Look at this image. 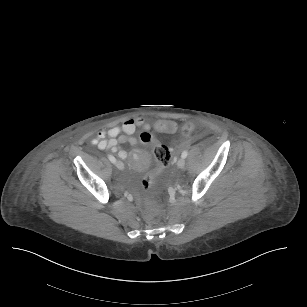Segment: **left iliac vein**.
Masks as SVG:
<instances>
[{"label":"left iliac vein","mask_w":307,"mask_h":307,"mask_svg":"<svg viewBox=\"0 0 307 307\" xmlns=\"http://www.w3.org/2000/svg\"><path fill=\"white\" fill-rule=\"evenodd\" d=\"M185 164H186V161L184 158H180L177 162V166L180 168V169H183L185 167Z\"/></svg>","instance_id":"left-iliac-vein-1"}]
</instances>
